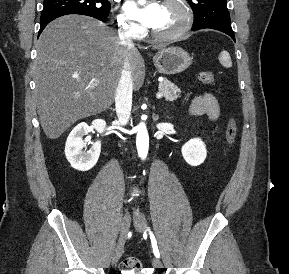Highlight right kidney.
I'll list each match as a JSON object with an SVG mask.
<instances>
[{"label":"right kidney","instance_id":"obj_1","mask_svg":"<svg viewBox=\"0 0 289 274\" xmlns=\"http://www.w3.org/2000/svg\"><path fill=\"white\" fill-rule=\"evenodd\" d=\"M105 128L106 122L96 119L91 126L81 122L70 132L65 145V155L74 169L88 171L95 166L101 152V141H96L88 151H84L87 141L83 140V137L93 130L103 133Z\"/></svg>","mask_w":289,"mask_h":274}]
</instances>
